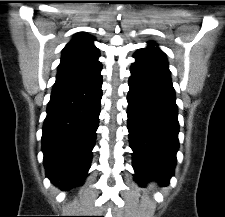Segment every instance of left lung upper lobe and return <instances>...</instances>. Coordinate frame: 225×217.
<instances>
[{
	"mask_svg": "<svg viewBox=\"0 0 225 217\" xmlns=\"http://www.w3.org/2000/svg\"><path fill=\"white\" fill-rule=\"evenodd\" d=\"M148 44V47L142 48L135 53L134 58H136V62L134 64L168 67L165 53L158 47H155V43L148 42Z\"/></svg>",
	"mask_w": 225,
	"mask_h": 217,
	"instance_id": "5c2ea615",
	"label": "left lung upper lobe"
}]
</instances>
